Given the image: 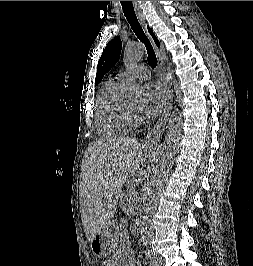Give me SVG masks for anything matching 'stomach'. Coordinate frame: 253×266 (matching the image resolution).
<instances>
[{
	"mask_svg": "<svg viewBox=\"0 0 253 266\" xmlns=\"http://www.w3.org/2000/svg\"><path fill=\"white\" fill-rule=\"evenodd\" d=\"M119 226L115 220L109 221L102 231L91 241V250L100 258L109 256L116 248L119 239Z\"/></svg>",
	"mask_w": 253,
	"mask_h": 266,
	"instance_id": "1",
	"label": "stomach"
}]
</instances>
